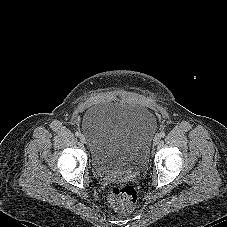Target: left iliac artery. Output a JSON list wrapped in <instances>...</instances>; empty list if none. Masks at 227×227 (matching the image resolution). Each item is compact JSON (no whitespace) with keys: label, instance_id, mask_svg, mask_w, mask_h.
I'll return each instance as SVG.
<instances>
[{"label":"left iliac artery","instance_id":"44dca946","mask_svg":"<svg viewBox=\"0 0 227 227\" xmlns=\"http://www.w3.org/2000/svg\"><path fill=\"white\" fill-rule=\"evenodd\" d=\"M160 136H161V137H164V136H165V132H161V133H160Z\"/></svg>","mask_w":227,"mask_h":227}]
</instances>
